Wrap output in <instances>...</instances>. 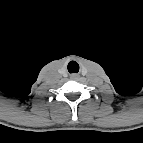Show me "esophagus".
Returning <instances> with one entry per match:
<instances>
[{
	"instance_id": "34e87169",
	"label": "esophagus",
	"mask_w": 143,
	"mask_h": 143,
	"mask_svg": "<svg viewBox=\"0 0 143 143\" xmlns=\"http://www.w3.org/2000/svg\"><path fill=\"white\" fill-rule=\"evenodd\" d=\"M71 78H72V79H75V78H77V75H76V74H72V75H71Z\"/></svg>"
}]
</instances>
